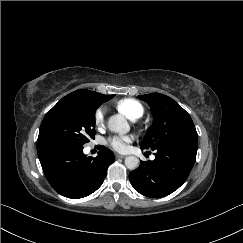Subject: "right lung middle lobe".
<instances>
[{"mask_svg":"<svg viewBox=\"0 0 243 243\" xmlns=\"http://www.w3.org/2000/svg\"><path fill=\"white\" fill-rule=\"evenodd\" d=\"M113 97L111 95L109 99ZM98 106L85 101L61 99L41 123L37 149L56 144L83 146L94 139Z\"/></svg>","mask_w":243,"mask_h":243,"instance_id":"obj_1","label":"right lung middle lobe"}]
</instances>
